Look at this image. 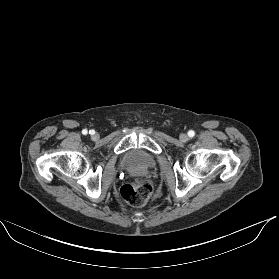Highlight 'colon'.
I'll return each mask as SVG.
<instances>
[{
  "mask_svg": "<svg viewBox=\"0 0 279 279\" xmlns=\"http://www.w3.org/2000/svg\"><path fill=\"white\" fill-rule=\"evenodd\" d=\"M152 191V182L141 179L123 185L119 190V197L131 206L141 207L148 202Z\"/></svg>",
  "mask_w": 279,
  "mask_h": 279,
  "instance_id": "colon-1",
  "label": "colon"
}]
</instances>
